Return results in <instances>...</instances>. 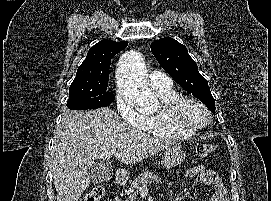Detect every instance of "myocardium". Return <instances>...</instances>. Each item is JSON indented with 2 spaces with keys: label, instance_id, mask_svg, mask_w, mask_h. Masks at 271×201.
Returning a JSON list of instances; mask_svg holds the SVG:
<instances>
[{
  "label": "myocardium",
  "instance_id": "1",
  "mask_svg": "<svg viewBox=\"0 0 271 201\" xmlns=\"http://www.w3.org/2000/svg\"><path fill=\"white\" fill-rule=\"evenodd\" d=\"M195 106L201 109L207 116L206 122L197 124L189 119L187 108ZM160 111L176 126L191 132L202 131L212 122V114L209 108L202 102L188 97H178L162 103Z\"/></svg>",
  "mask_w": 271,
  "mask_h": 201
}]
</instances>
